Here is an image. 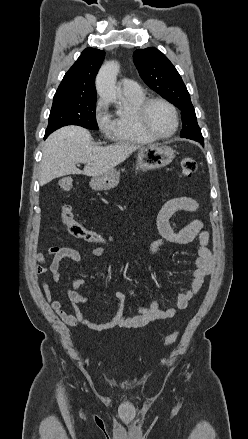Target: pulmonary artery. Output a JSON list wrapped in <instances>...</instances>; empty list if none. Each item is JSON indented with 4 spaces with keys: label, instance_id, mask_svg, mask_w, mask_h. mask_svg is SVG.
<instances>
[{
    "label": "pulmonary artery",
    "instance_id": "e3ab8cb5",
    "mask_svg": "<svg viewBox=\"0 0 248 439\" xmlns=\"http://www.w3.org/2000/svg\"><path fill=\"white\" fill-rule=\"evenodd\" d=\"M123 93H136L140 91V86L132 79L124 78L120 82Z\"/></svg>",
    "mask_w": 248,
    "mask_h": 439
}]
</instances>
